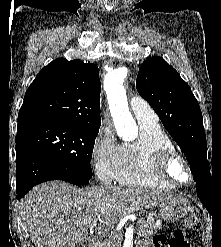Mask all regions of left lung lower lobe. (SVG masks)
<instances>
[{"instance_id":"left-lung-lower-lobe-1","label":"left lung lower lobe","mask_w":221,"mask_h":247,"mask_svg":"<svg viewBox=\"0 0 221 247\" xmlns=\"http://www.w3.org/2000/svg\"><path fill=\"white\" fill-rule=\"evenodd\" d=\"M197 195L200 198L201 202L209 211L211 202L213 200V189L212 187H197Z\"/></svg>"}]
</instances>
